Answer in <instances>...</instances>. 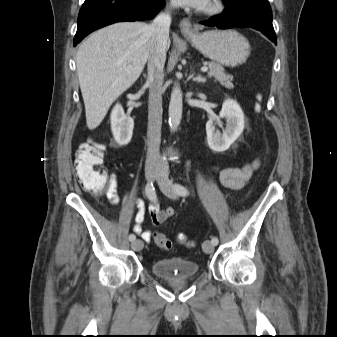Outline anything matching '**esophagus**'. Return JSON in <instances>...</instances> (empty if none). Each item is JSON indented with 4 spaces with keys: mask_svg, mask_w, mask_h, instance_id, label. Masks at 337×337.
Returning a JSON list of instances; mask_svg holds the SVG:
<instances>
[{
    "mask_svg": "<svg viewBox=\"0 0 337 337\" xmlns=\"http://www.w3.org/2000/svg\"><path fill=\"white\" fill-rule=\"evenodd\" d=\"M180 31L183 35H193L194 29L188 18L182 19L180 22Z\"/></svg>",
    "mask_w": 337,
    "mask_h": 337,
    "instance_id": "1",
    "label": "esophagus"
}]
</instances>
